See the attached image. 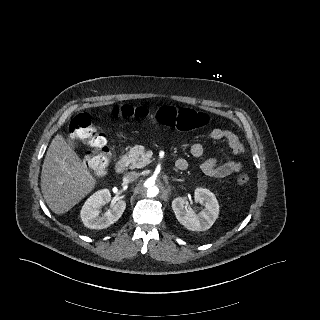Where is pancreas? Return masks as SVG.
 Here are the masks:
<instances>
[{"mask_svg":"<svg viewBox=\"0 0 320 320\" xmlns=\"http://www.w3.org/2000/svg\"><path fill=\"white\" fill-rule=\"evenodd\" d=\"M122 162L130 169L145 167L149 160L146 159L145 149L141 145H136L122 157Z\"/></svg>","mask_w":320,"mask_h":320,"instance_id":"1","label":"pancreas"}]
</instances>
